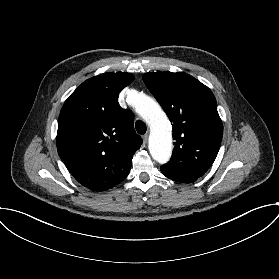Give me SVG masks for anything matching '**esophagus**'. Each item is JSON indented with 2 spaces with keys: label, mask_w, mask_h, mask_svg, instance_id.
<instances>
[{
  "label": "esophagus",
  "mask_w": 279,
  "mask_h": 279,
  "mask_svg": "<svg viewBox=\"0 0 279 279\" xmlns=\"http://www.w3.org/2000/svg\"><path fill=\"white\" fill-rule=\"evenodd\" d=\"M142 139H143V143L146 144L148 142V135L147 134H144L142 136Z\"/></svg>",
  "instance_id": "34e87169"
}]
</instances>
